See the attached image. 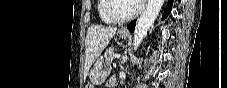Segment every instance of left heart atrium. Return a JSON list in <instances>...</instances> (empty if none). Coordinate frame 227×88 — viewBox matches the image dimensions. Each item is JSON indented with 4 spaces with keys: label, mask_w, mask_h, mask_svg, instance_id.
<instances>
[{
    "label": "left heart atrium",
    "mask_w": 227,
    "mask_h": 88,
    "mask_svg": "<svg viewBox=\"0 0 227 88\" xmlns=\"http://www.w3.org/2000/svg\"><path fill=\"white\" fill-rule=\"evenodd\" d=\"M136 4L143 5L145 3V0H135Z\"/></svg>",
    "instance_id": "39dd6f15"
}]
</instances>
